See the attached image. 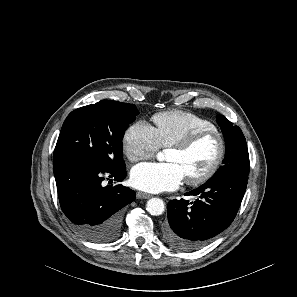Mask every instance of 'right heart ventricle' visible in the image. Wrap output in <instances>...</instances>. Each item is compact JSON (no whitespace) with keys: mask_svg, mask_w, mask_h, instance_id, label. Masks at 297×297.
I'll use <instances>...</instances> for the list:
<instances>
[{"mask_svg":"<svg viewBox=\"0 0 297 297\" xmlns=\"http://www.w3.org/2000/svg\"><path fill=\"white\" fill-rule=\"evenodd\" d=\"M154 129L160 146L168 147L178 139L196 131L215 129L207 119L185 111H168L153 117Z\"/></svg>","mask_w":297,"mask_h":297,"instance_id":"right-heart-ventricle-1","label":"right heart ventricle"}]
</instances>
